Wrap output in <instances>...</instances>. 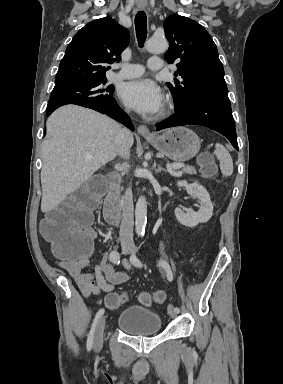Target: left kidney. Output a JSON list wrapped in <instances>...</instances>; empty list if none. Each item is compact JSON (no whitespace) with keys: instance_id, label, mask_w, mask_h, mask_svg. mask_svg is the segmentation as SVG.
<instances>
[{"instance_id":"5707ae66","label":"left kidney","mask_w":283,"mask_h":384,"mask_svg":"<svg viewBox=\"0 0 283 384\" xmlns=\"http://www.w3.org/2000/svg\"><path fill=\"white\" fill-rule=\"evenodd\" d=\"M177 186L179 188H186L187 194H190V196H197L198 200H200L198 204H195V206H198L200 208L199 212H183L181 208H176L175 210V216L180 222V224H183V226H188V228H193V226H198V224H202V222H208L212 216L213 212V204L210 200V196L203 188V186H200V184H197V182H194V184H187V182H178Z\"/></svg>"}]
</instances>
